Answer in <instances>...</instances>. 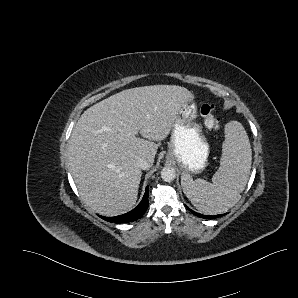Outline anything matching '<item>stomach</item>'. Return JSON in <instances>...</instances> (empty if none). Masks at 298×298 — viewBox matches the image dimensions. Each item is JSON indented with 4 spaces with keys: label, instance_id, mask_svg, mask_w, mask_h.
I'll return each mask as SVG.
<instances>
[{
    "label": "stomach",
    "instance_id": "obj_1",
    "mask_svg": "<svg viewBox=\"0 0 298 298\" xmlns=\"http://www.w3.org/2000/svg\"><path fill=\"white\" fill-rule=\"evenodd\" d=\"M197 117V102L188 99L180 105L171 126L167 158L184 173H202L209 158L210 146Z\"/></svg>",
    "mask_w": 298,
    "mask_h": 298
}]
</instances>
